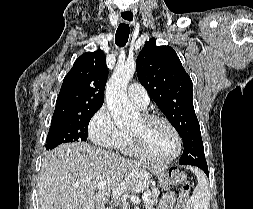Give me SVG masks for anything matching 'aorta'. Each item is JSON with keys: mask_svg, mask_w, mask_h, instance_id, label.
<instances>
[{"mask_svg": "<svg viewBox=\"0 0 253 209\" xmlns=\"http://www.w3.org/2000/svg\"><path fill=\"white\" fill-rule=\"evenodd\" d=\"M136 71L133 61L117 64L106 86V103L111 116L119 128L133 124L138 112L127 98V85Z\"/></svg>", "mask_w": 253, "mask_h": 209, "instance_id": "aorta-1", "label": "aorta"}]
</instances>
